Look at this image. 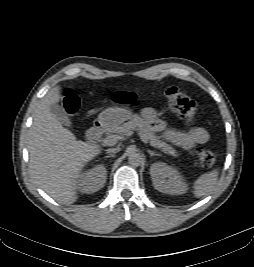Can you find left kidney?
Instances as JSON below:
<instances>
[{"instance_id":"5707ae66","label":"left kidney","mask_w":254,"mask_h":267,"mask_svg":"<svg viewBox=\"0 0 254 267\" xmlns=\"http://www.w3.org/2000/svg\"><path fill=\"white\" fill-rule=\"evenodd\" d=\"M150 175L156 190L170 195H180L187 191V185L178 170L163 162L153 163Z\"/></svg>"}]
</instances>
